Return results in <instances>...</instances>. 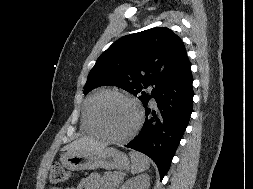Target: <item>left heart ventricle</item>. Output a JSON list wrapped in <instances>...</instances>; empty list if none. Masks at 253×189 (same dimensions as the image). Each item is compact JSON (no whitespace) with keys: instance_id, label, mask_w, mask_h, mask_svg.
I'll return each mask as SVG.
<instances>
[{"instance_id":"left-heart-ventricle-1","label":"left heart ventricle","mask_w":253,"mask_h":189,"mask_svg":"<svg viewBox=\"0 0 253 189\" xmlns=\"http://www.w3.org/2000/svg\"><path fill=\"white\" fill-rule=\"evenodd\" d=\"M98 114L106 130L114 136H124L129 133L137 120L135 108L115 97L103 100L98 107Z\"/></svg>"}]
</instances>
